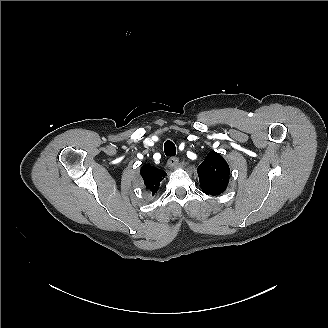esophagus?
I'll return each mask as SVG.
<instances>
[{"label": "esophagus", "mask_w": 328, "mask_h": 328, "mask_svg": "<svg viewBox=\"0 0 328 328\" xmlns=\"http://www.w3.org/2000/svg\"><path fill=\"white\" fill-rule=\"evenodd\" d=\"M179 159L177 157H170L167 162V167L169 169H174L178 166Z\"/></svg>", "instance_id": "34e87169"}]
</instances>
